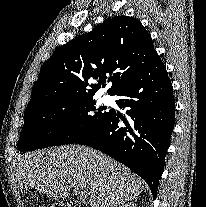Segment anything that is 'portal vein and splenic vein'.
Masks as SVG:
<instances>
[{
    "label": "portal vein and splenic vein",
    "mask_w": 206,
    "mask_h": 207,
    "mask_svg": "<svg viewBox=\"0 0 206 207\" xmlns=\"http://www.w3.org/2000/svg\"><path fill=\"white\" fill-rule=\"evenodd\" d=\"M74 191L76 192V195L80 197V199H85L87 197V194L78 188H74Z\"/></svg>",
    "instance_id": "1"
}]
</instances>
